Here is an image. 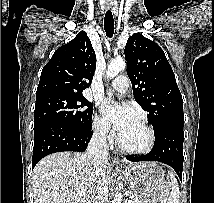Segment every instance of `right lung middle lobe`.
Wrapping results in <instances>:
<instances>
[{
  "label": "right lung middle lobe",
  "instance_id": "obj_1",
  "mask_svg": "<svg viewBox=\"0 0 214 203\" xmlns=\"http://www.w3.org/2000/svg\"><path fill=\"white\" fill-rule=\"evenodd\" d=\"M92 114L93 107L83 95H46L36 98L34 129L48 123H61L88 130L92 128Z\"/></svg>",
  "mask_w": 214,
  "mask_h": 203
}]
</instances>
